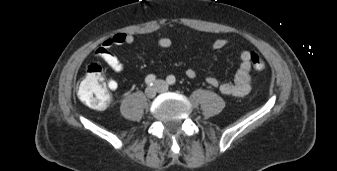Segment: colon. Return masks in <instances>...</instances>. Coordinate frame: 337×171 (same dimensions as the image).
<instances>
[{
  "label": "colon",
  "mask_w": 337,
  "mask_h": 171,
  "mask_svg": "<svg viewBox=\"0 0 337 171\" xmlns=\"http://www.w3.org/2000/svg\"><path fill=\"white\" fill-rule=\"evenodd\" d=\"M250 61L255 71L265 69L264 61L256 53H251ZM78 97L88 107L96 110L106 108L111 102L109 87L104 78L101 66L91 62L86 74L78 86Z\"/></svg>",
  "instance_id": "5ec220e1"
}]
</instances>
